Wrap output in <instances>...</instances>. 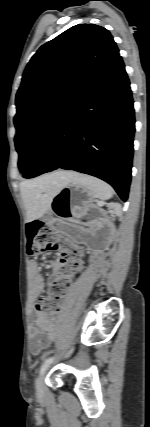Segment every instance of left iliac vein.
I'll use <instances>...</instances> for the list:
<instances>
[{"label":"left iliac vein","mask_w":150,"mask_h":427,"mask_svg":"<svg viewBox=\"0 0 150 427\" xmlns=\"http://www.w3.org/2000/svg\"><path fill=\"white\" fill-rule=\"evenodd\" d=\"M72 352H73V349H71V350L69 351L68 355H70ZM44 374H45V373H42V374L38 377L37 382H36V391H37V395H38V396H42V395H43V393H44V386H43V378H44Z\"/></svg>","instance_id":"left-iliac-vein-1"}]
</instances>
